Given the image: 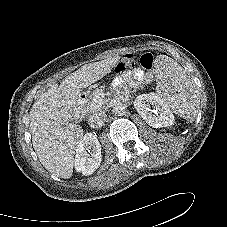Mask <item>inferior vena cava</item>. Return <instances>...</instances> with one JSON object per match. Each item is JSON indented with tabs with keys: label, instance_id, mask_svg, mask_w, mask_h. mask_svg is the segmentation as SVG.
<instances>
[{
	"label": "inferior vena cava",
	"instance_id": "1",
	"mask_svg": "<svg viewBox=\"0 0 227 227\" xmlns=\"http://www.w3.org/2000/svg\"><path fill=\"white\" fill-rule=\"evenodd\" d=\"M105 118L104 111H95L89 116L88 123L92 128H100L104 124Z\"/></svg>",
	"mask_w": 227,
	"mask_h": 227
}]
</instances>
